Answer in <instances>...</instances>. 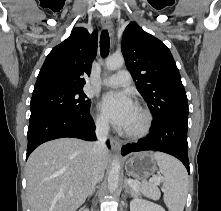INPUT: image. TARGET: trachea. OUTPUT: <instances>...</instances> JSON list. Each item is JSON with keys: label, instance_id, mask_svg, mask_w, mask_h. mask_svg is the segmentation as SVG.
I'll use <instances>...</instances> for the list:
<instances>
[{"label": "trachea", "instance_id": "obj_1", "mask_svg": "<svg viewBox=\"0 0 221 211\" xmlns=\"http://www.w3.org/2000/svg\"><path fill=\"white\" fill-rule=\"evenodd\" d=\"M110 38L107 30H103L100 36V52L101 57L105 58L109 53Z\"/></svg>", "mask_w": 221, "mask_h": 211}]
</instances>
